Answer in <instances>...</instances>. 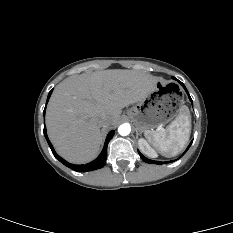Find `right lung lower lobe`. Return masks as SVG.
Masks as SVG:
<instances>
[{
	"label": "right lung lower lobe",
	"mask_w": 233,
	"mask_h": 233,
	"mask_svg": "<svg viewBox=\"0 0 233 233\" xmlns=\"http://www.w3.org/2000/svg\"><path fill=\"white\" fill-rule=\"evenodd\" d=\"M53 89L49 92L48 94V98H47V102L50 98V95L52 93ZM46 102V104H47ZM44 115H45V109H44ZM44 135H45V138L51 148V151L53 153V155L55 156V158H57L60 162H62L65 166L75 170V171H80V172H86V171H93V170H96V169H99V168H102L105 163H106V158H107V145H108V142L111 140V138L113 137L114 135V131H110L109 134L107 135V138H106V141H105V144H104V148L101 152V154L98 156V158H96L94 161L88 163V164H83V165H74V164H71V163H68L66 162L64 159H62L54 150L52 144L50 143L49 139H48V136H47V133H46V127L44 126Z\"/></svg>",
	"instance_id": "98d812e1"
}]
</instances>
